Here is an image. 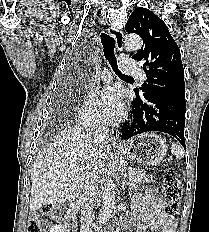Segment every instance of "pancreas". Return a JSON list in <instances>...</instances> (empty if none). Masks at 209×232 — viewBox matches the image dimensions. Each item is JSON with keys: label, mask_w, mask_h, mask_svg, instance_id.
<instances>
[{"label": "pancreas", "mask_w": 209, "mask_h": 232, "mask_svg": "<svg viewBox=\"0 0 209 232\" xmlns=\"http://www.w3.org/2000/svg\"><path fill=\"white\" fill-rule=\"evenodd\" d=\"M129 171L133 172V174L129 176L128 185L134 190H136L140 184L145 182L148 183L152 180V176H146L139 167H131Z\"/></svg>", "instance_id": "obj_1"}]
</instances>
